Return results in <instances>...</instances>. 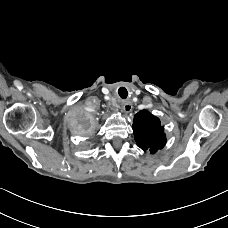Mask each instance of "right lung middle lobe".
I'll return each instance as SVG.
<instances>
[{
  "label": "right lung middle lobe",
  "mask_w": 228,
  "mask_h": 228,
  "mask_svg": "<svg viewBox=\"0 0 228 228\" xmlns=\"http://www.w3.org/2000/svg\"><path fill=\"white\" fill-rule=\"evenodd\" d=\"M80 131H81L82 134H84V133L86 132V128L82 126V127L80 128Z\"/></svg>",
  "instance_id": "1"
}]
</instances>
